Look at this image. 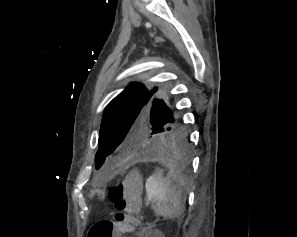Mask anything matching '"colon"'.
<instances>
[{"mask_svg":"<svg viewBox=\"0 0 297 237\" xmlns=\"http://www.w3.org/2000/svg\"><path fill=\"white\" fill-rule=\"evenodd\" d=\"M108 197L114 205L116 214L113 219L96 222L91 226L88 237H120L134 231L138 220L131 216L139 209L140 179L135 174H128L123 181L108 191Z\"/></svg>","mask_w":297,"mask_h":237,"instance_id":"1","label":"colon"}]
</instances>
